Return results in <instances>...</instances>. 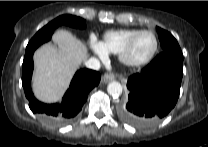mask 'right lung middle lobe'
Returning a JSON list of instances; mask_svg holds the SVG:
<instances>
[{"instance_id":"right-lung-middle-lobe-1","label":"right lung middle lobe","mask_w":208,"mask_h":147,"mask_svg":"<svg viewBox=\"0 0 208 147\" xmlns=\"http://www.w3.org/2000/svg\"><path fill=\"white\" fill-rule=\"evenodd\" d=\"M85 23H86V20L83 18L73 16V15H68V14L61 15L57 17L56 19L52 20L42 29H40L32 39L42 38L48 34H51L57 27L61 25H67L70 27L83 29L85 28Z\"/></svg>"}]
</instances>
